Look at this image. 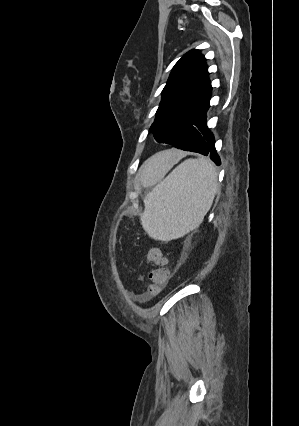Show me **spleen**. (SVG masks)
Returning <instances> with one entry per match:
<instances>
[{
    "label": "spleen",
    "mask_w": 299,
    "mask_h": 426,
    "mask_svg": "<svg viewBox=\"0 0 299 426\" xmlns=\"http://www.w3.org/2000/svg\"><path fill=\"white\" fill-rule=\"evenodd\" d=\"M216 190L217 173L207 159L185 160L146 194L140 215L144 230L161 241L184 236L202 223Z\"/></svg>",
    "instance_id": "3e777b00"
}]
</instances>
